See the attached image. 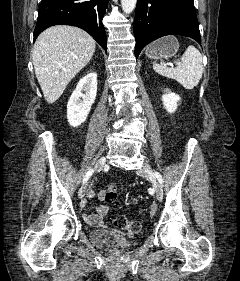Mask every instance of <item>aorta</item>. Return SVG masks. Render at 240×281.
Here are the masks:
<instances>
[{"mask_svg":"<svg viewBox=\"0 0 240 281\" xmlns=\"http://www.w3.org/2000/svg\"><path fill=\"white\" fill-rule=\"evenodd\" d=\"M137 0H121L122 10L125 14H130L136 6Z\"/></svg>","mask_w":240,"mask_h":281,"instance_id":"1","label":"aorta"}]
</instances>
